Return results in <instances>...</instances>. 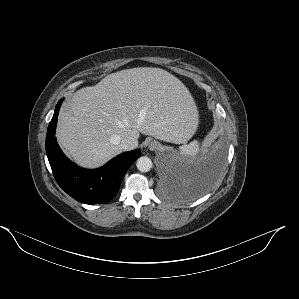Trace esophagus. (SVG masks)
Masks as SVG:
<instances>
[{
  "label": "esophagus",
  "instance_id": "1",
  "mask_svg": "<svg viewBox=\"0 0 299 299\" xmlns=\"http://www.w3.org/2000/svg\"><path fill=\"white\" fill-rule=\"evenodd\" d=\"M159 146H160V144L157 141H151L148 144V149L151 150V151H155L159 148Z\"/></svg>",
  "mask_w": 299,
  "mask_h": 299
}]
</instances>
